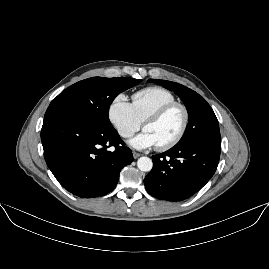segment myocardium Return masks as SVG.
I'll use <instances>...</instances> for the list:
<instances>
[{"label":"myocardium","instance_id":"1","mask_svg":"<svg viewBox=\"0 0 269 269\" xmlns=\"http://www.w3.org/2000/svg\"><path fill=\"white\" fill-rule=\"evenodd\" d=\"M179 109L182 112L183 115V124L181 127V130L179 131V133L177 134V136L171 140L169 143L163 145V146H157V150L158 151H168L170 149H172L173 147H175L176 145H178L182 139L185 137L188 127H189V120H190V116H189V111L187 109V107L185 105H183L182 103L179 102H171L168 104H165L153 111H151L145 118V120L143 121V129L145 128V125L148 121L161 117L164 114L168 113L169 111L173 110V109Z\"/></svg>","mask_w":269,"mask_h":269}]
</instances>
